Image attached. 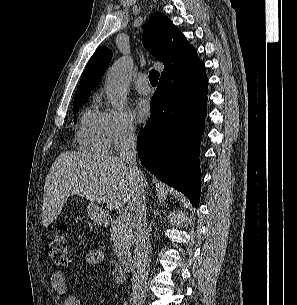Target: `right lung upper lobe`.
I'll use <instances>...</instances> for the list:
<instances>
[{"label":"right lung upper lobe","mask_w":297,"mask_h":305,"mask_svg":"<svg viewBox=\"0 0 297 305\" xmlns=\"http://www.w3.org/2000/svg\"><path fill=\"white\" fill-rule=\"evenodd\" d=\"M142 42L146 49L164 64L161 78L178 76L201 62L195 48L162 13L150 16L143 31ZM111 57L112 51L106 47L95 51L81 77L74 101L90 96V92L107 69Z\"/></svg>","instance_id":"cb5924a9"}]
</instances>
